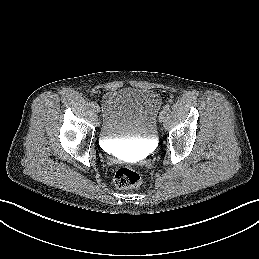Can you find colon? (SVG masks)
Masks as SVG:
<instances>
[{"mask_svg": "<svg viewBox=\"0 0 259 259\" xmlns=\"http://www.w3.org/2000/svg\"><path fill=\"white\" fill-rule=\"evenodd\" d=\"M141 183V177L137 171L130 167H121L114 174V184L118 188H135Z\"/></svg>", "mask_w": 259, "mask_h": 259, "instance_id": "5ec220e1", "label": "colon"}]
</instances>
